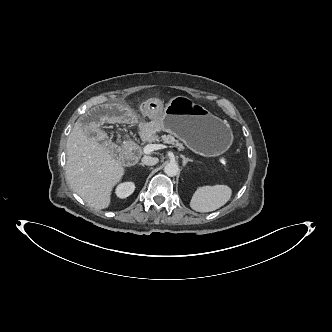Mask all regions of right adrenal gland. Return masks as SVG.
I'll list each match as a JSON object with an SVG mask.
<instances>
[{"label":"right adrenal gland","instance_id":"2a0ac1e0","mask_svg":"<svg viewBox=\"0 0 332 332\" xmlns=\"http://www.w3.org/2000/svg\"><path fill=\"white\" fill-rule=\"evenodd\" d=\"M139 165H141V166L145 167V166H144V164H142V163H140Z\"/></svg>","mask_w":332,"mask_h":332}]
</instances>
